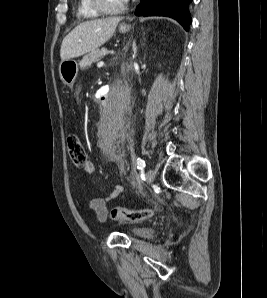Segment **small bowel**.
<instances>
[{
    "label": "small bowel",
    "instance_id": "c3829d8e",
    "mask_svg": "<svg viewBox=\"0 0 267 298\" xmlns=\"http://www.w3.org/2000/svg\"><path fill=\"white\" fill-rule=\"evenodd\" d=\"M96 165L94 163H88L86 165V173L92 174L96 171ZM119 169L123 171V167L119 166ZM123 191L121 185H115L112 191L104 197H95L89 201V208L96 214L97 219L100 222H105L107 220L108 209L107 204L115 200Z\"/></svg>",
    "mask_w": 267,
    "mask_h": 298
}]
</instances>
